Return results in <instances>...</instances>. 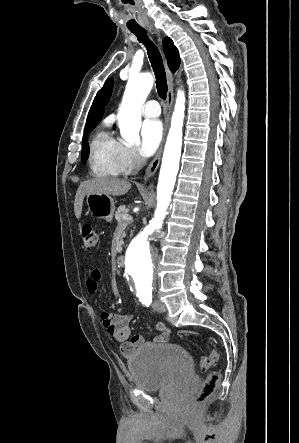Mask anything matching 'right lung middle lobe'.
I'll list each match as a JSON object with an SVG mask.
<instances>
[{
    "instance_id": "right-lung-middle-lobe-1",
    "label": "right lung middle lobe",
    "mask_w": 299,
    "mask_h": 443,
    "mask_svg": "<svg viewBox=\"0 0 299 443\" xmlns=\"http://www.w3.org/2000/svg\"><path fill=\"white\" fill-rule=\"evenodd\" d=\"M96 125L97 124L85 127V135L88 134L89 132H91L96 127ZM88 156H89L88 143L84 141L82 144V162L83 163L87 160Z\"/></svg>"
}]
</instances>
